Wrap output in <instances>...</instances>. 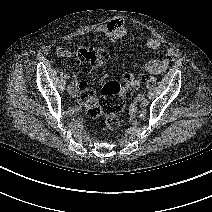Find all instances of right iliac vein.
<instances>
[{
    "mask_svg": "<svg viewBox=\"0 0 212 212\" xmlns=\"http://www.w3.org/2000/svg\"><path fill=\"white\" fill-rule=\"evenodd\" d=\"M69 94L72 98L76 97V91L73 88L69 91Z\"/></svg>",
    "mask_w": 212,
    "mask_h": 212,
    "instance_id": "63e3f726",
    "label": "right iliac vein"
}]
</instances>
